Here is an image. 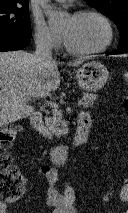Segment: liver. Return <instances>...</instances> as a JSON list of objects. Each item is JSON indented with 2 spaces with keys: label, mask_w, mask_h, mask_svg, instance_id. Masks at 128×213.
I'll return each instance as SVG.
<instances>
[{
  "label": "liver",
  "mask_w": 128,
  "mask_h": 213,
  "mask_svg": "<svg viewBox=\"0 0 128 213\" xmlns=\"http://www.w3.org/2000/svg\"><path fill=\"white\" fill-rule=\"evenodd\" d=\"M83 60L70 62L78 66ZM57 62L40 65L25 51L0 52V127L30 116L32 99L48 96L60 85Z\"/></svg>",
  "instance_id": "6515ba94"
}]
</instances>
